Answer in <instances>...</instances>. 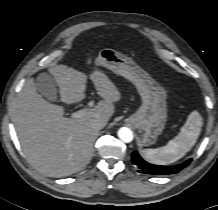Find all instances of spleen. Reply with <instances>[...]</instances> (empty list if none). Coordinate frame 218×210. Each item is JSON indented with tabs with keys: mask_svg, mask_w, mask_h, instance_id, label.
<instances>
[{
	"mask_svg": "<svg viewBox=\"0 0 218 210\" xmlns=\"http://www.w3.org/2000/svg\"><path fill=\"white\" fill-rule=\"evenodd\" d=\"M203 121L197 111H193L181 128L180 133L165 146L156 149H144L143 155L157 165H169L181 159L195 145Z\"/></svg>",
	"mask_w": 218,
	"mask_h": 210,
	"instance_id": "obj_1",
	"label": "spleen"
}]
</instances>
